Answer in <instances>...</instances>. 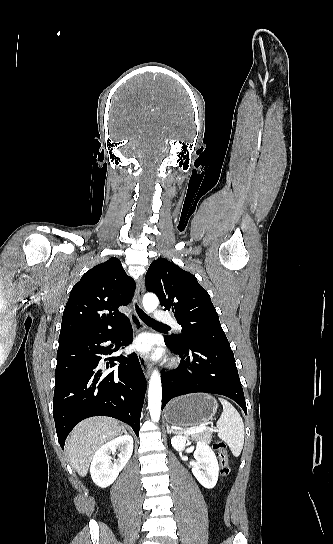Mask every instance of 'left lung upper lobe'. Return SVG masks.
<instances>
[{"instance_id": "obj_1", "label": "left lung upper lobe", "mask_w": 333, "mask_h": 544, "mask_svg": "<svg viewBox=\"0 0 333 544\" xmlns=\"http://www.w3.org/2000/svg\"><path fill=\"white\" fill-rule=\"evenodd\" d=\"M147 290L155 293L164 310L172 309L181 334L169 339L178 346L201 340L229 343L208 292L191 273L164 258L153 261L146 273Z\"/></svg>"}]
</instances>
